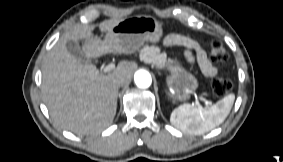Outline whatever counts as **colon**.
<instances>
[{
    "label": "colon",
    "instance_id": "1",
    "mask_svg": "<svg viewBox=\"0 0 283 162\" xmlns=\"http://www.w3.org/2000/svg\"><path fill=\"white\" fill-rule=\"evenodd\" d=\"M210 58L214 62H225L228 59V53L221 42L214 41L210 47ZM232 82L229 78L219 76L212 81V91L215 96L223 97L232 89Z\"/></svg>",
    "mask_w": 283,
    "mask_h": 162
}]
</instances>
